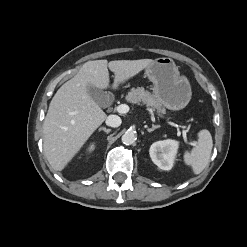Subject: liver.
<instances>
[{
    "label": "liver",
    "mask_w": 247,
    "mask_h": 247,
    "mask_svg": "<svg viewBox=\"0 0 247 247\" xmlns=\"http://www.w3.org/2000/svg\"><path fill=\"white\" fill-rule=\"evenodd\" d=\"M152 62V59L88 61L58 89L43 123V147L53 169L63 170L107 117L90 96L88 86L107 89L109 68L115 75L114 86L118 87Z\"/></svg>",
    "instance_id": "liver-1"
}]
</instances>
